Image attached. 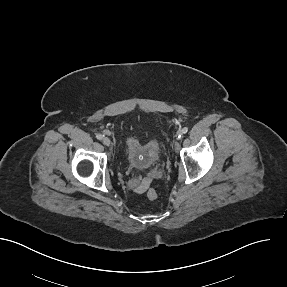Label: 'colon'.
Returning <instances> with one entry per match:
<instances>
[{"label": "colon", "instance_id": "colon-1", "mask_svg": "<svg viewBox=\"0 0 287 287\" xmlns=\"http://www.w3.org/2000/svg\"><path fill=\"white\" fill-rule=\"evenodd\" d=\"M146 197L149 199V200H156L157 197H158V193L155 189L153 188H149L147 191H146Z\"/></svg>", "mask_w": 287, "mask_h": 287}]
</instances>
